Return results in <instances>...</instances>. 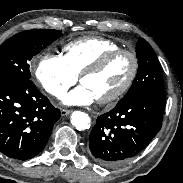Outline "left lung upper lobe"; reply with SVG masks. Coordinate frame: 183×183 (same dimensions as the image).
Masks as SVG:
<instances>
[{
    "mask_svg": "<svg viewBox=\"0 0 183 183\" xmlns=\"http://www.w3.org/2000/svg\"><path fill=\"white\" fill-rule=\"evenodd\" d=\"M139 69L127 94L121 101L142 93H165L161 66L150 44L140 39L136 45Z\"/></svg>",
    "mask_w": 183,
    "mask_h": 183,
    "instance_id": "1",
    "label": "left lung upper lobe"
}]
</instances>
